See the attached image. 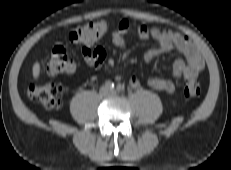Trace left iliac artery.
Instances as JSON below:
<instances>
[{"label":"left iliac artery","mask_w":231,"mask_h":170,"mask_svg":"<svg viewBox=\"0 0 231 170\" xmlns=\"http://www.w3.org/2000/svg\"><path fill=\"white\" fill-rule=\"evenodd\" d=\"M125 90V86L123 84H118L117 85V91L118 92H123Z\"/></svg>","instance_id":"1"}]
</instances>
